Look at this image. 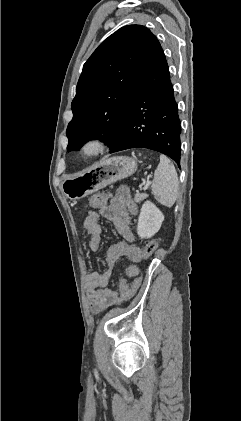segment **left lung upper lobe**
<instances>
[{
  "mask_svg": "<svg viewBox=\"0 0 241 421\" xmlns=\"http://www.w3.org/2000/svg\"><path fill=\"white\" fill-rule=\"evenodd\" d=\"M157 41L146 27L127 25L97 47L83 66L71 104L68 152L79 150L90 139H100L112 147Z\"/></svg>",
  "mask_w": 241,
  "mask_h": 421,
  "instance_id": "1",
  "label": "left lung upper lobe"
}]
</instances>
